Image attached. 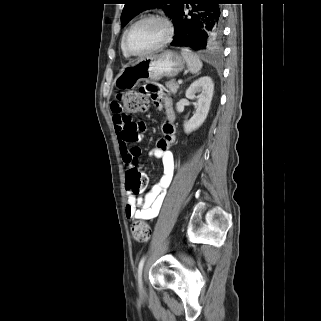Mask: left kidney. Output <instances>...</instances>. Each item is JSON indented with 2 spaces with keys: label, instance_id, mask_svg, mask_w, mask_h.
Wrapping results in <instances>:
<instances>
[{
  "label": "left kidney",
  "instance_id": "1",
  "mask_svg": "<svg viewBox=\"0 0 321 321\" xmlns=\"http://www.w3.org/2000/svg\"><path fill=\"white\" fill-rule=\"evenodd\" d=\"M214 84L209 76H204L194 81L186 91L188 99H197L196 112L191 119L184 124V131L190 133L199 128L207 118L212 97ZM198 93L196 96L195 94Z\"/></svg>",
  "mask_w": 321,
  "mask_h": 321
}]
</instances>
